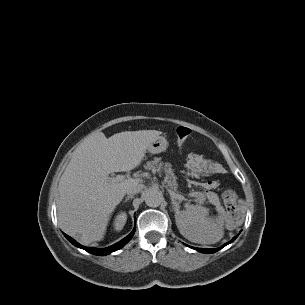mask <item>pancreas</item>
<instances>
[{
  "mask_svg": "<svg viewBox=\"0 0 305 305\" xmlns=\"http://www.w3.org/2000/svg\"><path fill=\"white\" fill-rule=\"evenodd\" d=\"M144 168L146 170H151V171H163L166 175L167 181L169 185L171 186L172 189L176 190L177 189V182H176V176L174 174V171L172 169V166L168 162H162L161 158L155 157L154 160L147 161ZM195 201L203 204L204 201L206 200V193L204 192H196L195 194Z\"/></svg>",
  "mask_w": 305,
  "mask_h": 305,
  "instance_id": "1",
  "label": "pancreas"
}]
</instances>
